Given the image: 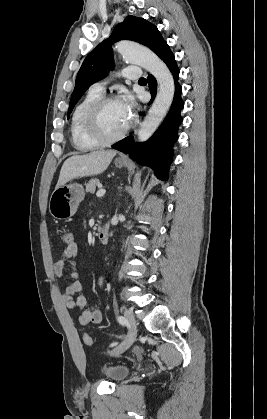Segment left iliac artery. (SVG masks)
Here are the masks:
<instances>
[{
  "label": "left iliac artery",
  "mask_w": 267,
  "mask_h": 419,
  "mask_svg": "<svg viewBox=\"0 0 267 419\" xmlns=\"http://www.w3.org/2000/svg\"><path fill=\"white\" fill-rule=\"evenodd\" d=\"M118 322L121 324V325H127V320L125 319V317H123V316H119L118 317ZM117 345V342H114V343H112L110 346L111 347H113V346H116Z\"/></svg>",
  "instance_id": "1"
}]
</instances>
